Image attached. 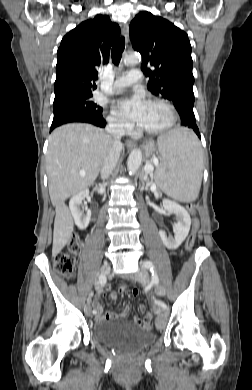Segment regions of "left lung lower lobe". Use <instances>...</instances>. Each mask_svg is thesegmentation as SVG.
<instances>
[{
	"instance_id": "left-lung-lower-lobe-1",
	"label": "left lung lower lobe",
	"mask_w": 252,
	"mask_h": 390,
	"mask_svg": "<svg viewBox=\"0 0 252 390\" xmlns=\"http://www.w3.org/2000/svg\"><path fill=\"white\" fill-rule=\"evenodd\" d=\"M179 115L181 117V125L184 127L192 128L198 135V137L201 138L198 127L196 125L194 112L189 108H184L179 112Z\"/></svg>"
}]
</instances>
